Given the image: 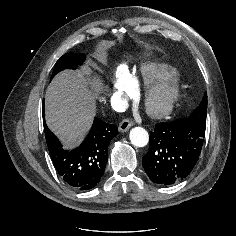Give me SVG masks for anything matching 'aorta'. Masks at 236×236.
Instances as JSON below:
<instances>
[{"instance_id":"1","label":"aorta","mask_w":236,"mask_h":236,"mask_svg":"<svg viewBox=\"0 0 236 236\" xmlns=\"http://www.w3.org/2000/svg\"><path fill=\"white\" fill-rule=\"evenodd\" d=\"M129 138L131 143L137 147H144L149 142V134L142 127H134L131 129Z\"/></svg>"}]
</instances>
